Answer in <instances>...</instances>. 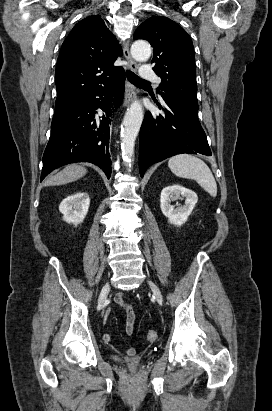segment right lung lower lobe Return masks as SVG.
<instances>
[{
  "label": "right lung lower lobe",
  "mask_w": 272,
  "mask_h": 411,
  "mask_svg": "<svg viewBox=\"0 0 272 411\" xmlns=\"http://www.w3.org/2000/svg\"><path fill=\"white\" fill-rule=\"evenodd\" d=\"M124 84L121 70L107 85L55 109L51 136L43 155L41 181L54 169L75 162L93 163L110 178L111 113L123 100Z\"/></svg>",
  "instance_id": "right-lung-lower-lobe-1"
}]
</instances>
